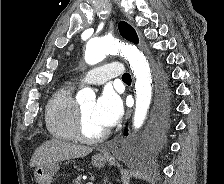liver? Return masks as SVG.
I'll use <instances>...</instances> for the list:
<instances>
[{"label":"liver","instance_id":"6515ba94","mask_svg":"<svg viewBox=\"0 0 224 184\" xmlns=\"http://www.w3.org/2000/svg\"><path fill=\"white\" fill-rule=\"evenodd\" d=\"M92 151L91 147L56 139L48 140L36 149L30 161V167L84 157Z\"/></svg>","mask_w":224,"mask_h":184}]
</instances>
